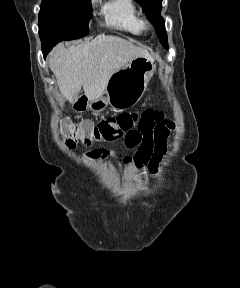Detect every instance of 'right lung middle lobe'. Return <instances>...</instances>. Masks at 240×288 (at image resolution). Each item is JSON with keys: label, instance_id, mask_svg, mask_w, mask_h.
<instances>
[{"label": "right lung middle lobe", "instance_id": "1", "mask_svg": "<svg viewBox=\"0 0 240 288\" xmlns=\"http://www.w3.org/2000/svg\"><path fill=\"white\" fill-rule=\"evenodd\" d=\"M91 0H43L39 12L42 47H53L63 40L88 34Z\"/></svg>", "mask_w": 240, "mask_h": 288}]
</instances>
